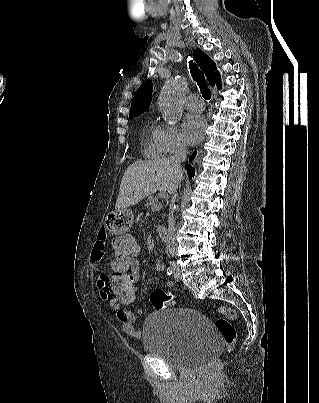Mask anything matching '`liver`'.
Masks as SVG:
<instances>
[{
  "label": "liver",
  "mask_w": 319,
  "mask_h": 403,
  "mask_svg": "<svg viewBox=\"0 0 319 403\" xmlns=\"http://www.w3.org/2000/svg\"><path fill=\"white\" fill-rule=\"evenodd\" d=\"M182 179V169L175 170L169 158L135 161L124 172L115 209L133 206L157 190L169 192Z\"/></svg>",
  "instance_id": "6515ba94"
}]
</instances>
